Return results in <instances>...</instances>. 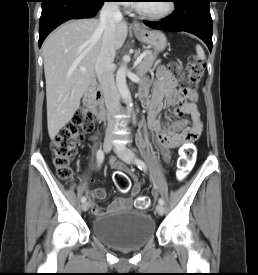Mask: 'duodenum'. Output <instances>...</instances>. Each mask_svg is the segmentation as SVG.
<instances>
[{"mask_svg": "<svg viewBox=\"0 0 258 275\" xmlns=\"http://www.w3.org/2000/svg\"><path fill=\"white\" fill-rule=\"evenodd\" d=\"M84 102L98 120L104 119L102 94L95 81H89L84 95Z\"/></svg>", "mask_w": 258, "mask_h": 275, "instance_id": "obj_1", "label": "duodenum"}]
</instances>
